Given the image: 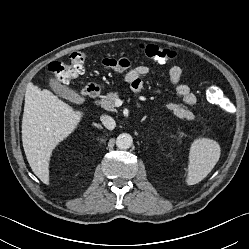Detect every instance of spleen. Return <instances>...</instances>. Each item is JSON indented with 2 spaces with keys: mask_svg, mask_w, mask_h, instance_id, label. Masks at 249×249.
<instances>
[{
  "mask_svg": "<svg viewBox=\"0 0 249 249\" xmlns=\"http://www.w3.org/2000/svg\"><path fill=\"white\" fill-rule=\"evenodd\" d=\"M220 145L213 139L198 138L191 144L186 183L194 185L202 181L220 158Z\"/></svg>",
  "mask_w": 249,
  "mask_h": 249,
  "instance_id": "3e777b00",
  "label": "spleen"
}]
</instances>
